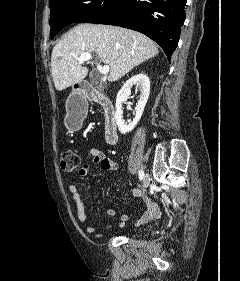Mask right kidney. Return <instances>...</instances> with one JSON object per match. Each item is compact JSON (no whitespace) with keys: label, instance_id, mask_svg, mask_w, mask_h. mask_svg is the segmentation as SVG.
Here are the masks:
<instances>
[{"label":"right kidney","instance_id":"right-kidney-1","mask_svg":"<svg viewBox=\"0 0 240 281\" xmlns=\"http://www.w3.org/2000/svg\"><path fill=\"white\" fill-rule=\"evenodd\" d=\"M135 84L138 85L141 91V95L135 108V112H136L135 118L133 119L132 122L126 124L125 121L123 120L122 103L126 101L127 98L131 95V88ZM149 93H150V81L148 76L143 73L137 74L134 77L127 80L126 83L118 92L116 98V104H115L116 110H115L114 118L118 126V129L122 134H126L127 132L132 131L135 128V126L138 124L144 112V108L146 106Z\"/></svg>","mask_w":240,"mask_h":281}]
</instances>
